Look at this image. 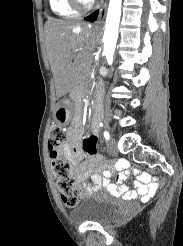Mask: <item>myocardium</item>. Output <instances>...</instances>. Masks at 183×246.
Returning a JSON list of instances; mask_svg holds the SVG:
<instances>
[{"mask_svg":"<svg viewBox=\"0 0 183 246\" xmlns=\"http://www.w3.org/2000/svg\"><path fill=\"white\" fill-rule=\"evenodd\" d=\"M73 8L78 12H85L90 10L93 7L92 1L86 0H69Z\"/></svg>","mask_w":183,"mask_h":246,"instance_id":"obj_1","label":"myocardium"}]
</instances>
